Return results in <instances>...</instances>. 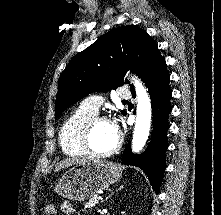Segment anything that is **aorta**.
<instances>
[{
	"mask_svg": "<svg viewBox=\"0 0 221 215\" xmlns=\"http://www.w3.org/2000/svg\"><path fill=\"white\" fill-rule=\"evenodd\" d=\"M136 94H137V110L136 120L132 139V150L138 153L145 146L151 126V102L147 90L142 82L136 77H132Z\"/></svg>",
	"mask_w": 221,
	"mask_h": 215,
	"instance_id": "1",
	"label": "aorta"
}]
</instances>
